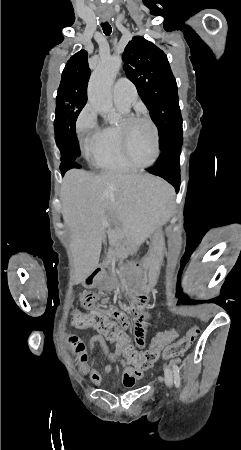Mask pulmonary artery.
I'll list each match as a JSON object with an SVG mask.
<instances>
[{"mask_svg":"<svg viewBox=\"0 0 241 450\" xmlns=\"http://www.w3.org/2000/svg\"><path fill=\"white\" fill-rule=\"evenodd\" d=\"M123 84V85H121ZM135 96V89L132 88V84L126 78L117 80L113 89V98L117 103L125 104L130 107Z\"/></svg>","mask_w":241,"mask_h":450,"instance_id":"obj_1","label":"pulmonary artery"}]
</instances>
